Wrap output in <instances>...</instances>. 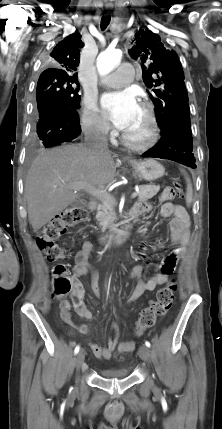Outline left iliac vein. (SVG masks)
Here are the masks:
<instances>
[{"instance_id": "left-iliac-vein-1", "label": "left iliac vein", "mask_w": 222, "mask_h": 429, "mask_svg": "<svg viewBox=\"0 0 222 429\" xmlns=\"http://www.w3.org/2000/svg\"><path fill=\"white\" fill-rule=\"evenodd\" d=\"M139 355L145 361L148 362L150 360V349L143 345L139 348Z\"/></svg>"}]
</instances>
